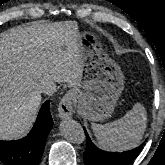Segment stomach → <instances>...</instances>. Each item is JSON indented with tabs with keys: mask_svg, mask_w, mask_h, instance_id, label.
I'll return each mask as SVG.
<instances>
[{
	"mask_svg": "<svg viewBox=\"0 0 165 165\" xmlns=\"http://www.w3.org/2000/svg\"><path fill=\"white\" fill-rule=\"evenodd\" d=\"M77 39L85 60L83 80L74 87L78 106L89 120L102 121L114 111L124 89V76L120 66L103 52L93 33H78Z\"/></svg>",
	"mask_w": 165,
	"mask_h": 165,
	"instance_id": "1",
	"label": "stomach"
}]
</instances>
